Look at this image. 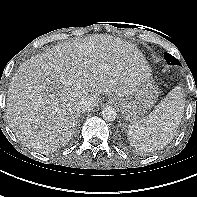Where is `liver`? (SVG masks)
<instances>
[{"instance_id":"obj_1","label":"liver","mask_w":197,"mask_h":197,"mask_svg":"<svg viewBox=\"0 0 197 197\" xmlns=\"http://www.w3.org/2000/svg\"><path fill=\"white\" fill-rule=\"evenodd\" d=\"M150 69L133 44L92 35L53 46L20 65L7 97V119L18 140L49 153L72 136L82 98L129 95Z\"/></svg>"}]
</instances>
